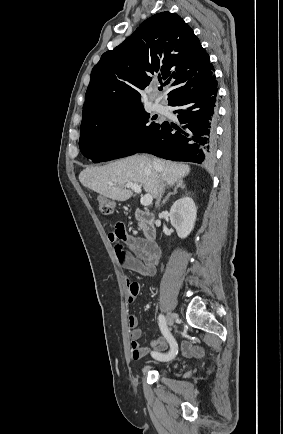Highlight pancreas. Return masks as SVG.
Masks as SVG:
<instances>
[{
  "label": "pancreas",
  "instance_id": "cf45deb5",
  "mask_svg": "<svg viewBox=\"0 0 283 434\" xmlns=\"http://www.w3.org/2000/svg\"><path fill=\"white\" fill-rule=\"evenodd\" d=\"M144 227V224L142 222L139 223V229H142Z\"/></svg>",
  "mask_w": 283,
  "mask_h": 434
}]
</instances>
